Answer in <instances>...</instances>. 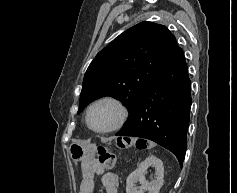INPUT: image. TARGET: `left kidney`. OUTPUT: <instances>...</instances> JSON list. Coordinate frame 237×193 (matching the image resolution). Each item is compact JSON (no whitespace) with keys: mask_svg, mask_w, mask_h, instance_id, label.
I'll return each instance as SVG.
<instances>
[{"mask_svg":"<svg viewBox=\"0 0 237 193\" xmlns=\"http://www.w3.org/2000/svg\"><path fill=\"white\" fill-rule=\"evenodd\" d=\"M151 166L155 168L156 179L148 182L145 179V173ZM163 177L164 165L162 160L155 156H149L128 176L126 193H144L145 191H148V193H159L163 185ZM137 182L141 184L140 187L136 186Z\"/></svg>","mask_w":237,"mask_h":193,"instance_id":"1","label":"left kidney"}]
</instances>
